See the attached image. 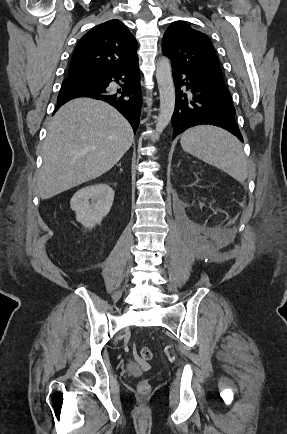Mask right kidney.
<instances>
[{
	"label": "right kidney",
	"mask_w": 287,
	"mask_h": 434,
	"mask_svg": "<svg viewBox=\"0 0 287 434\" xmlns=\"http://www.w3.org/2000/svg\"><path fill=\"white\" fill-rule=\"evenodd\" d=\"M113 200V189L100 183L78 190L71 198L70 206L78 222L86 228H93L109 213Z\"/></svg>",
	"instance_id": "obj_1"
}]
</instances>
